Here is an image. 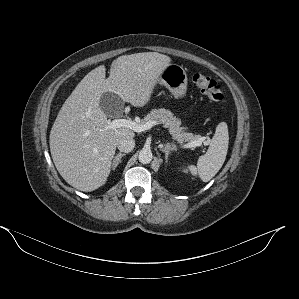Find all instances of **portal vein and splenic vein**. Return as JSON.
Returning <instances> with one entry per match:
<instances>
[{
	"mask_svg": "<svg viewBox=\"0 0 299 299\" xmlns=\"http://www.w3.org/2000/svg\"><path fill=\"white\" fill-rule=\"evenodd\" d=\"M158 124H161V122L156 120L148 122L146 124H140L130 119H114L111 122H108V124L106 125V129H116L121 127H126L135 132H143ZM200 145H201L200 142H192L183 145V148H192Z\"/></svg>",
	"mask_w": 299,
	"mask_h": 299,
	"instance_id": "18ae733b",
	"label": "portal vein and splenic vein"
}]
</instances>
